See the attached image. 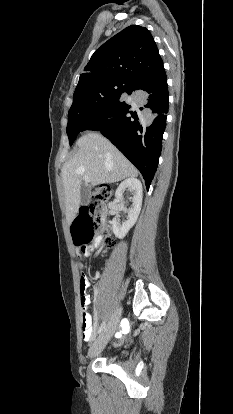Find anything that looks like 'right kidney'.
Segmentation results:
<instances>
[{
	"label": "right kidney",
	"instance_id": "right-kidney-1",
	"mask_svg": "<svg viewBox=\"0 0 233 414\" xmlns=\"http://www.w3.org/2000/svg\"><path fill=\"white\" fill-rule=\"evenodd\" d=\"M126 189H129L133 197L132 207L128 210V219L124 222H121L118 218L112 220V230L115 236L119 239H122L126 236L130 228L134 226L139 216L141 206H142V184L136 178H128L121 182L115 192L114 204L122 202L123 193Z\"/></svg>",
	"mask_w": 233,
	"mask_h": 414
}]
</instances>
